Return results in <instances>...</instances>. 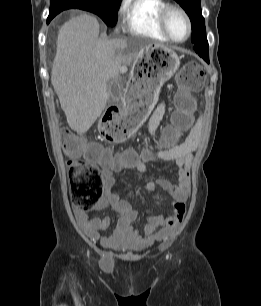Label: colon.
Instances as JSON below:
<instances>
[{
  "instance_id": "obj_1",
  "label": "colon",
  "mask_w": 261,
  "mask_h": 306,
  "mask_svg": "<svg viewBox=\"0 0 261 306\" xmlns=\"http://www.w3.org/2000/svg\"><path fill=\"white\" fill-rule=\"evenodd\" d=\"M204 78V69L196 62L185 64L179 71L176 77L175 103L177 110L174 113V124L164 130L162 142L167 143L176 139L180 132L190 127V115L195 107L193 94L200 89ZM102 133L109 141L120 142L130 136L131 129L119 120L110 119L103 123ZM64 147L70 155L84 152L89 160V162H77L69 170L73 205L80 210L87 209L90 200L99 195L104 187L102 173L93 162L107 160L108 153L97 146H84L78 138L70 133L65 136ZM148 154V151H144L141 155ZM113 158L123 162L134 161L138 159V154L126 151L119 155H113Z\"/></svg>"
}]
</instances>
